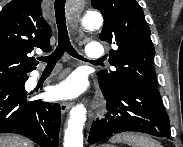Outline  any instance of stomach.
Returning a JSON list of instances; mask_svg holds the SVG:
<instances>
[{
	"instance_id": "stomach-1",
	"label": "stomach",
	"mask_w": 183,
	"mask_h": 147,
	"mask_svg": "<svg viewBox=\"0 0 183 147\" xmlns=\"http://www.w3.org/2000/svg\"><path fill=\"white\" fill-rule=\"evenodd\" d=\"M101 147H113L111 145H102Z\"/></svg>"
}]
</instances>
